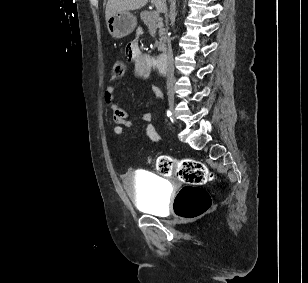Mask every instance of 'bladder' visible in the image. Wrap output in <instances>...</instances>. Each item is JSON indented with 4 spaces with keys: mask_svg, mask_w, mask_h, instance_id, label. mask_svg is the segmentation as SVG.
I'll list each match as a JSON object with an SVG mask.
<instances>
[{
    "mask_svg": "<svg viewBox=\"0 0 308 283\" xmlns=\"http://www.w3.org/2000/svg\"><path fill=\"white\" fill-rule=\"evenodd\" d=\"M125 188L134 205L141 211L157 216L166 213L167 186L161 178L146 171L129 173Z\"/></svg>",
    "mask_w": 308,
    "mask_h": 283,
    "instance_id": "31cf9c89",
    "label": "bladder"
}]
</instances>
